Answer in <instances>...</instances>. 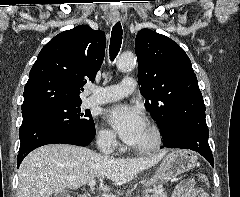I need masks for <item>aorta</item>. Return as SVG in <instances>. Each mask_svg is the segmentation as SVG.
<instances>
[{
	"mask_svg": "<svg viewBox=\"0 0 240 197\" xmlns=\"http://www.w3.org/2000/svg\"><path fill=\"white\" fill-rule=\"evenodd\" d=\"M136 64V59L133 54H122L117 60V68L120 71L126 72L132 69Z\"/></svg>",
	"mask_w": 240,
	"mask_h": 197,
	"instance_id": "762f6f07",
	"label": "aorta"
}]
</instances>
